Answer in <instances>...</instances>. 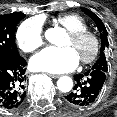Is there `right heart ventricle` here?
Masks as SVG:
<instances>
[{
    "instance_id": "e07e8e85",
    "label": "right heart ventricle",
    "mask_w": 117,
    "mask_h": 117,
    "mask_svg": "<svg viewBox=\"0 0 117 117\" xmlns=\"http://www.w3.org/2000/svg\"><path fill=\"white\" fill-rule=\"evenodd\" d=\"M56 20L69 32L86 30L88 28L87 22L78 14H62L57 16Z\"/></svg>"
}]
</instances>
